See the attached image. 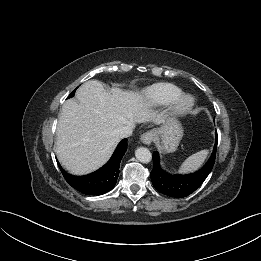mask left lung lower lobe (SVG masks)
I'll return each mask as SVG.
<instances>
[{
	"mask_svg": "<svg viewBox=\"0 0 261 261\" xmlns=\"http://www.w3.org/2000/svg\"><path fill=\"white\" fill-rule=\"evenodd\" d=\"M217 148V132L216 141L212 154L206 164L198 171L187 175H172L165 172L160 167V159L157 151L153 153V170L150 173L152 184L160 193L182 198L193 193L207 178L211 172L216 157Z\"/></svg>",
	"mask_w": 261,
	"mask_h": 261,
	"instance_id": "1",
	"label": "left lung lower lobe"
}]
</instances>
